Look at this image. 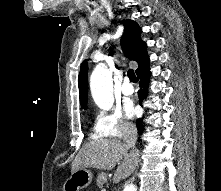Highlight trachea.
<instances>
[{"instance_id":"trachea-1","label":"trachea","mask_w":221,"mask_h":191,"mask_svg":"<svg viewBox=\"0 0 221 191\" xmlns=\"http://www.w3.org/2000/svg\"><path fill=\"white\" fill-rule=\"evenodd\" d=\"M127 75L129 77L130 81H132L133 83L138 82V78L136 77L133 69L128 70Z\"/></svg>"}]
</instances>
